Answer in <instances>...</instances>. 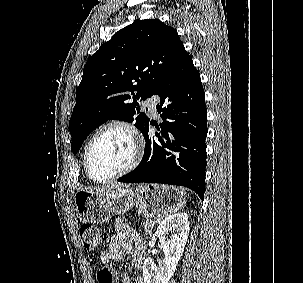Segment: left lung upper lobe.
<instances>
[{"instance_id":"obj_1","label":"left lung upper lobe","mask_w":303,"mask_h":283,"mask_svg":"<svg viewBox=\"0 0 303 283\" xmlns=\"http://www.w3.org/2000/svg\"><path fill=\"white\" fill-rule=\"evenodd\" d=\"M183 50L176 29L158 19L137 20L102 44L87 61L76 91L69 121L72 152L109 119L135 122L142 132L149 118L137 100L153 95Z\"/></svg>"}]
</instances>
